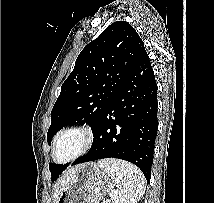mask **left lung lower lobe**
Segmentation results:
<instances>
[{"mask_svg": "<svg viewBox=\"0 0 214 203\" xmlns=\"http://www.w3.org/2000/svg\"><path fill=\"white\" fill-rule=\"evenodd\" d=\"M157 108V84L145 51L100 117L91 149L72 166L118 158L138 166L150 182Z\"/></svg>", "mask_w": 214, "mask_h": 203, "instance_id": "0a47b994", "label": "left lung lower lobe"}]
</instances>
